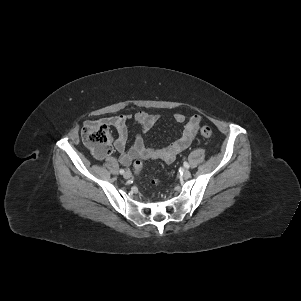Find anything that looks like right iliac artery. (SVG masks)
Wrapping results in <instances>:
<instances>
[{"mask_svg": "<svg viewBox=\"0 0 301 301\" xmlns=\"http://www.w3.org/2000/svg\"><path fill=\"white\" fill-rule=\"evenodd\" d=\"M119 172H120V174H124L125 173L124 169H120Z\"/></svg>", "mask_w": 301, "mask_h": 301, "instance_id": "1", "label": "right iliac artery"}]
</instances>
